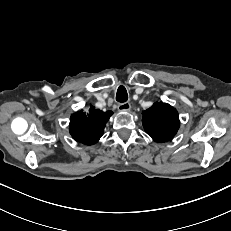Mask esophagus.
Instances as JSON below:
<instances>
[{
  "label": "esophagus",
  "instance_id": "obj_1",
  "mask_svg": "<svg viewBox=\"0 0 231 231\" xmlns=\"http://www.w3.org/2000/svg\"><path fill=\"white\" fill-rule=\"evenodd\" d=\"M117 108L120 112H127L131 109V105L129 102L119 103Z\"/></svg>",
  "mask_w": 231,
  "mask_h": 231
}]
</instances>
